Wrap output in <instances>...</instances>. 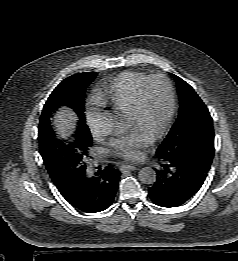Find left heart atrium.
<instances>
[{"mask_svg":"<svg viewBox=\"0 0 238 261\" xmlns=\"http://www.w3.org/2000/svg\"><path fill=\"white\" fill-rule=\"evenodd\" d=\"M153 135L140 128L112 138L109 142L111 151L125 159L137 160L141 157V150L153 141Z\"/></svg>","mask_w":238,"mask_h":261,"instance_id":"obj_1","label":"left heart atrium"}]
</instances>
